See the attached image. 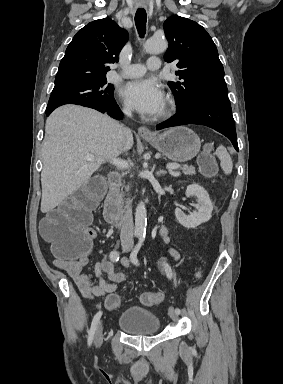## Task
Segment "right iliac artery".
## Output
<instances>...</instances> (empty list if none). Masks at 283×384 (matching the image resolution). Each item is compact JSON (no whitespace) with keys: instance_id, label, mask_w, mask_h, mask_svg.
I'll use <instances>...</instances> for the list:
<instances>
[{"instance_id":"1","label":"right iliac artery","mask_w":283,"mask_h":384,"mask_svg":"<svg viewBox=\"0 0 283 384\" xmlns=\"http://www.w3.org/2000/svg\"><path fill=\"white\" fill-rule=\"evenodd\" d=\"M109 257L113 262H117V261H119L120 255H119L118 251L114 250L110 253ZM101 316H102V311H99L96 313V315L93 318L91 328H90V331L88 333V345L89 346L92 344L93 337H94V334H95V331L97 329V326H98V323H99Z\"/></svg>"}]
</instances>
